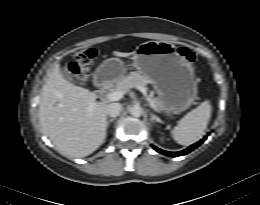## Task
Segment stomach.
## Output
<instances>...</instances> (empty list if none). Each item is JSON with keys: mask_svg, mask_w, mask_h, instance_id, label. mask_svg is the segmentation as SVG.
<instances>
[{"mask_svg": "<svg viewBox=\"0 0 260 205\" xmlns=\"http://www.w3.org/2000/svg\"><path fill=\"white\" fill-rule=\"evenodd\" d=\"M133 62L153 85L167 116L185 111L197 98L198 83L192 63L177 52L175 45L166 41L142 43ZM125 72L119 58H109L97 68L95 80L100 85L116 83Z\"/></svg>", "mask_w": 260, "mask_h": 205, "instance_id": "stomach-1", "label": "stomach"}]
</instances>
